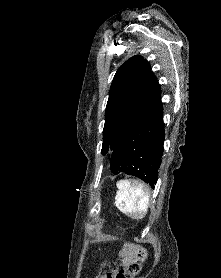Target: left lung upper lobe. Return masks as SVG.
<instances>
[{"label":"left lung upper lobe","instance_id":"5c2ea615","mask_svg":"<svg viewBox=\"0 0 221 278\" xmlns=\"http://www.w3.org/2000/svg\"><path fill=\"white\" fill-rule=\"evenodd\" d=\"M149 63L133 56L117 70L105 112L102 154L112 153L159 89Z\"/></svg>","mask_w":221,"mask_h":278}]
</instances>
